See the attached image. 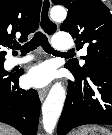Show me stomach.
Returning <instances> with one entry per match:
<instances>
[{
    "label": "stomach",
    "instance_id": "1",
    "mask_svg": "<svg viewBox=\"0 0 112 135\" xmlns=\"http://www.w3.org/2000/svg\"><path fill=\"white\" fill-rule=\"evenodd\" d=\"M72 135H112V133L102 126L93 125L84 127Z\"/></svg>",
    "mask_w": 112,
    "mask_h": 135
}]
</instances>
